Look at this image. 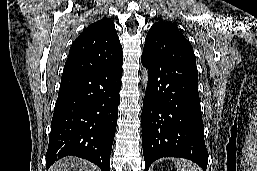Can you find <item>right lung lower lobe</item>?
Listing matches in <instances>:
<instances>
[{"label": "right lung lower lobe", "instance_id": "98d812e1", "mask_svg": "<svg viewBox=\"0 0 257 171\" xmlns=\"http://www.w3.org/2000/svg\"><path fill=\"white\" fill-rule=\"evenodd\" d=\"M122 62L62 76L46 153L47 168L62 157L74 155L91 161L102 171H110Z\"/></svg>", "mask_w": 257, "mask_h": 171}]
</instances>
